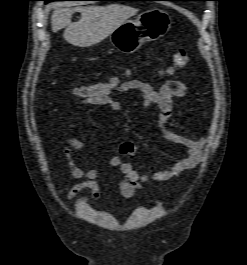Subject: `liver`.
<instances>
[{
    "label": "liver",
    "instance_id": "6515ba94",
    "mask_svg": "<svg viewBox=\"0 0 247 265\" xmlns=\"http://www.w3.org/2000/svg\"><path fill=\"white\" fill-rule=\"evenodd\" d=\"M137 9L111 4L107 6L70 7L57 3L51 16L52 31L65 28L64 39L77 47H90L98 44L113 33L130 17L136 15ZM75 12L81 14L77 22H71Z\"/></svg>",
    "mask_w": 247,
    "mask_h": 265
}]
</instances>
